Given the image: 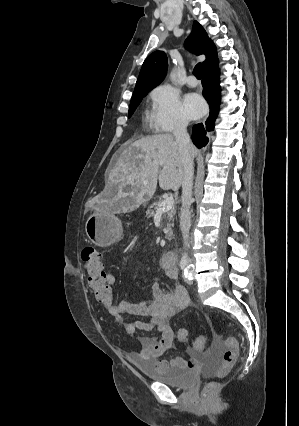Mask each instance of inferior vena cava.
<instances>
[{"mask_svg": "<svg viewBox=\"0 0 299 426\" xmlns=\"http://www.w3.org/2000/svg\"><path fill=\"white\" fill-rule=\"evenodd\" d=\"M188 121L182 119L178 122L174 130L175 141L182 149V165H183V180H182V196L180 210V227L182 231L185 247L189 246V231L191 227L190 206L192 202L193 188V160L191 158V142L187 133Z\"/></svg>", "mask_w": 299, "mask_h": 426, "instance_id": "inferior-vena-cava-1", "label": "inferior vena cava"}]
</instances>
